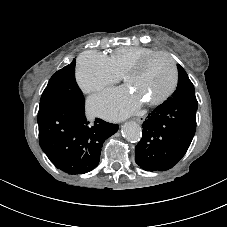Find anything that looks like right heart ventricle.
<instances>
[{"instance_id":"right-heart-ventricle-1","label":"right heart ventricle","mask_w":227,"mask_h":227,"mask_svg":"<svg viewBox=\"0 0 227 227\" xmlns=\"http://www.w3.org/2000/svg\"><path fill=\"white\" fill-rule=\"evenodd\" d=\"M156 52L155 49L141 46L118 47L108 55L110 64L117 74H124L125 71L135 64L142 57Z\"/></svg>"}]
</instances>
